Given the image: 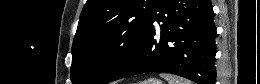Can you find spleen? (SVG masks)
I'll return each instance as SVG.
<instances>
[{
    "instance_id": "spleen-1",
    "label": "spleen",
    "mask_w": 260,
    "mask_h": 84,
    "mask_svg": "<svg viewBox=\"0 0 260 84\" xmlns=\"http://www.w3.org/2000/svg\"><path fill=\"white\" fill-rule=\"evenodd\" d=\"M160 76L166 79L169 82V84H191L190 81L183 78L175 77L171 74L162 73L160 74Z\"/></svg>"
}]
</instances>
